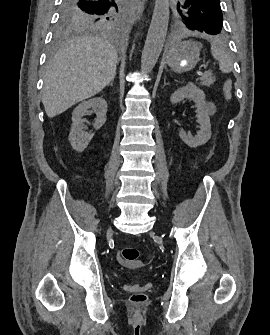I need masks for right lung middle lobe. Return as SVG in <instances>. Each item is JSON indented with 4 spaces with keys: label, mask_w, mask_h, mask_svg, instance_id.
Wrapping results in <instances>:
<instances>
[{
    "label": "right lung middle lobe",
    "mask_w": 270,
    "mask_h": 335,
    "mask_svg": "<svg viewBox=\"0 0 270 335\" xmlns=\"http://www.w3.org/2000/svg\"><path fill=\"white\" fill-rule=\"evenodd\" d=\"M124 0H62L55 39L91 29H115L125 17Z\"/></svg>",
    "instance_id": "1"
}]
</instances>
